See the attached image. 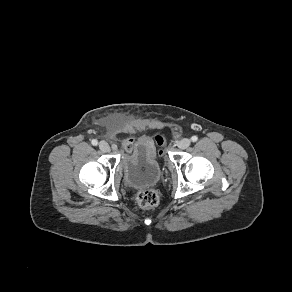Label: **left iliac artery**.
I'll list each match as a JSON object with an SVG mask.
<instances>
[{
  "label": "left iliac artery",
  "mask_w": 292,
  "mask_h": 292,
  "mask_svg": "<svg viewBox=\"0 0 292 292\" xmlns=\"http://www.w3.org/2000/svg\"><path fill=\"white\" fill-rule=\"evenodd\" d=\"M197 140H198V137H197V136H192V137H191V141H192V142H196Z\"/></svg>",
  "instance_id": "44dca946"
}]
</instances>
